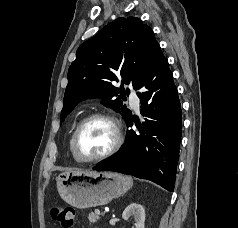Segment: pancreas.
<instances>
[{
	"label": "pancreas",
	"instance_id": "cf45deb5",
	"mask_svg": "<svg viewBox=\"0 0 238 228\" xmlns=\"http://www.w3.org/2000/svg\"><path fill=\"white\" fill-rule=\"evenodd\" d=\"M88 219H89L90 223H95L100 219V216L98 214L90 212Z\"/></svg>",
	"mask_w": 238,
	"mask_h": 228
}]
</instances>
